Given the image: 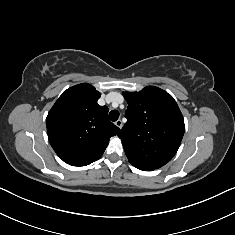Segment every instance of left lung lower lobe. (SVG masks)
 Here are the masks:
<instances>
[{
    "instance_id": "0a47b994",
    "label": "left lung lower lobe",
    "mask_w": 235,
    "mask_h": 235,
    "mask_svg": "<svg viewBox=\"0 0 235 235\" xmlns=\"http://www.w3.org/2000/svg\"><path fill=\"white\" fill-rule=\"evenodd\" d=\"M135 167H137L140 170H144V171H152V170H154V169H150V168H146V167H140V166H135Z\"/></svg>"
}]
</instances>
